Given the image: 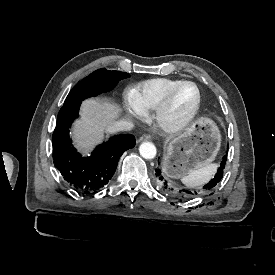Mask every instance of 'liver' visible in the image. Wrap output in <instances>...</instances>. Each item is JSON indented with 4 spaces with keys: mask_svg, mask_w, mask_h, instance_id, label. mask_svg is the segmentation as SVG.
Returning <instances> with one entry per match:
<instances>
[{
    "mask_svg": "<svg viewBox=\"0 0 275 275\" xmlns=\"http://www.w3.org/2000/svg\"><path fill=\"white\" fill-rule=\"evenodd\" d=\"M121 112L117 104L107 100L88 99L83 101L80 119L73 124V139L76 148L87 154L100 143L104 132L113 125Z\"/></svg>",
    "mask_w": 275,
    "mask_h": 275,
    "instance_id": "obj_1",
    "label": "liver"
}]
</instances>
